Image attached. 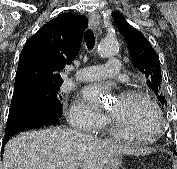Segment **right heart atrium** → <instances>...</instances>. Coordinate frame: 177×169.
Here are the masks:
<instances>
[{
  "instance_id": "1",
  "label": "right heart atrium",
  "mask_w": 177,
  "mask_h": 169,
  "mask_svg": "<svg viewBox=\"0 0 177 169\" xmlns=\"http://www.w3.org/2000/svg\"><path fill=\"white\" fill-rule=\"evenodd\" d=\"M69 121L76 128L93 131L102 127L106 123L107 118L89 107L76 102L69 111Z\"/></svg>"
}]
</instances>
